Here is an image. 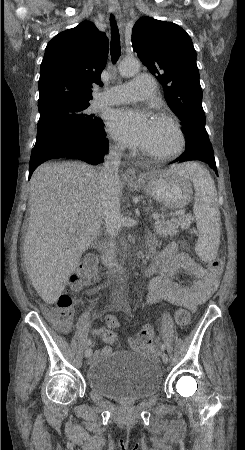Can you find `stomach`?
I'll use <instances>...</instances> for the list:
<instances>
[{"mask_svg":"<svg viewBox=\"0 0 245 450\" xmlns=\"http://www.w3.org/2000/svg\"><path fill=\"white\" fill-rule=\"evenodd\" d=\"M143 188L147 194L170 210L185 207L193 195L192 184L180 173L179 166L153 171Z\"/></svg>","mask_w":245,"mask_h":450,"instance_id":"obj_1","label":"stomach"}]
</instances>
